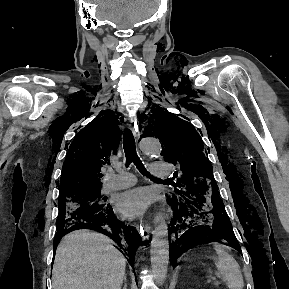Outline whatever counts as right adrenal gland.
<instances>
[{
  "label": "right adrenal gland",
  "mask_w": 289,
  "mask_h": 289,
  "mask_svg": "<svg viewBox=\"0 0 289 289\" xmlns=\"http://www.w3.org/2000/svg\"><path fill=\"white\" fill-rule=\"evenodd\" d=\"M123 289H127V280H126V276H124V286Z\"/></svg>",
  "instance_id": "1"
}]
</instances>
